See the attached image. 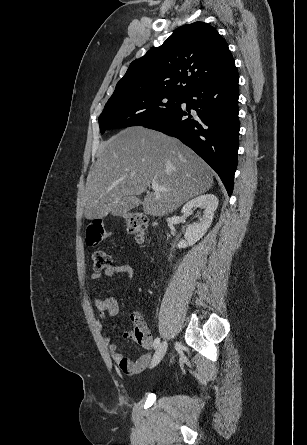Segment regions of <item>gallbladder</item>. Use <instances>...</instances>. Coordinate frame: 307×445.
<instances>
[{"label": "gallbladder", "mask_w": 307, "mask_h": 445, "mask_svg": "<svg viewBox=\"0 0 307 445\" xmlns=\"http://www.w3.org/2000/svg\"><path fill=\"white\" fill-rule=\"evenodd\" d=\"M142 204V199L137 195L123 196L120 204L116 205V210L120 212H128L131 209L137 210ZM113 216H118V213H113Z\"/></svg>", "instance_id": "gallbladder-1"}]
</instances>
